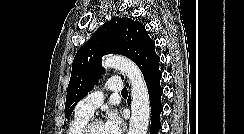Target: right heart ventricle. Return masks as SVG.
Listing matches in <instances>:
<instances>
[{"label": "right heart ventricle", "mask_w": 244, "mask_h": 134, "mask_svg": "<svg viewBox=\"0 0 244 134\" xmlns=\"http://www.w3.org/2000/svg\"><path fill=\"white\" fill-rule=\"evenodd\" d=\"M90 119L89 116L75 113L73 119L70 121L66 134H79L83 126Z\"/></svg>", "instance_id": "obj_1"}]
</instances>
